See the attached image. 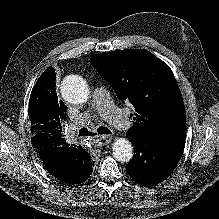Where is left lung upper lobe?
<instances>
[{"mask_svg":"<svg viewBox=\"0 0 219 219\" xmlns=\"http://www.w3.org/2000/svg\"><path fill=\"white\" fill-rule=\"evenodd\" d=\"M90 62L117 97L135 108V123L126 135L169 147H184L186 115L170 67L144 49L95 54Z\"/></svg>","mask_w":219,"mask_h":219,"instance_id":"left-lung-upper-lobe-1","label":"left lung upper lobe"}]
</instances>
